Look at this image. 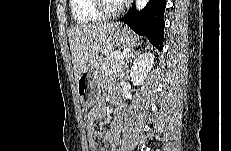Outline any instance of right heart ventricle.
<instances>
[{
  "mask_svg": "<svg viewBox=\"0 0 231 151\" xmlns=\"http://www.w3.org/2000/svg\"><path fill=\"white\" fill-rule=\"evenodd\" d=\"M71 12L79 25L96 23L102 19L94 10V0H72Z\"/></svg>",
  "mask_w": 231,
  "mask_h": 151,
  "instance_id": "e07e8e85",
  "label": "right heart ventricle"
}]
</instances>
